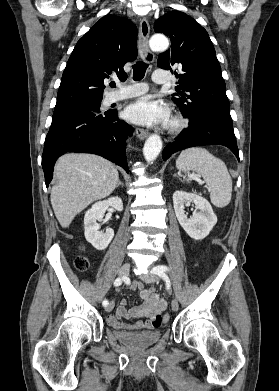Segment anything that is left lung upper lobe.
Instances as JSON below:
<instances>
[{
	"label": "left lung upper lobe",
	"instance_id": "obj_1",
	"mask_svg": "<svg viewBox=\"0 0 279 391\" xmlns=\"http://www.w3.org/2000/svg\"><path fill=\"white\" fill-rule=\"evenodd\" d=\"M157 33L167 35L171 48L161 53L157 65L176 69L179 78L172 100L186 117L200 112L214 113L232 121L221 67L207 31L180 11L166 13L154 23Z\"/></svg>",
	"mask_w": 279,
	"mask_h": 391
}]
</instances>
